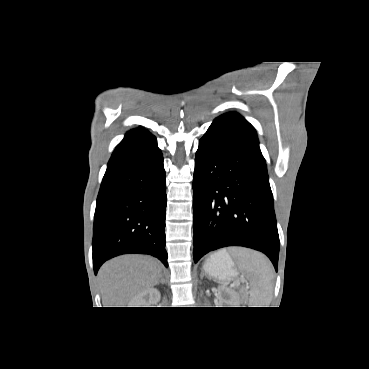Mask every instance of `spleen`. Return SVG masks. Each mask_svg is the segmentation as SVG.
<instances>
[{"label":"spleen","instance_id":"obj_1","mask_svg":"<svg viewBox=\"0 0 369 369\" xmlns=\"http://www.w3.org/2000/svg\"><path fill=\"white\" fill-rule=\"evenodd\" d=\"M231 253L237 258L239 267L246 271L251 281L249 303L251 307H268L270 304L274 269L263 254L249 250L236 249Z\"/></svg>","mask_w":369,"mask_h":369}]
</instances>
